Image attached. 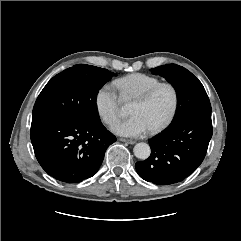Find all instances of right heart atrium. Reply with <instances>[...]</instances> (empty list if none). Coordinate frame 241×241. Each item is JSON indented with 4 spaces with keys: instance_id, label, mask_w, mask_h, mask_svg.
I'll list each match as a JSON object with an SVG mask.
<instances>
[{
    "instance_id": "obj_1",
    "label": "right heart atrium",
    "mask_w": 241,
    "mask_h": 241,
    "mask_svg": "<svg viewBox=\"0 0 241 241\" xmlns=\"http://www.w3.org/2000/svg\"><path fill=\"white\" fill-rule=\"evenodd\" d=\"M94 103L96 110L107 125H112L118 118L120 99L112 86L106 84L96 92Z\"/></svg>"
}]
</instances>
